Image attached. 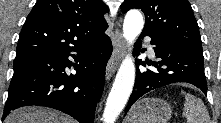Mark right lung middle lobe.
<instances>
[{"label": "right lung middle lobe", "instance_id": "right-lung-middle-lobe-1", "mask_svg": "<svg viewBox=\"0 0 221 123\" xmlns=\"http://www.w3.org/2000/svg\"><path fill=\"white\" fill-rule=\"evenodd\" d=\"M24 58H27V57H16L14 61H17V60H20V59H24Z\"/></svg>", "mask_w": 221, "mask_h": 123}]
</instances>
